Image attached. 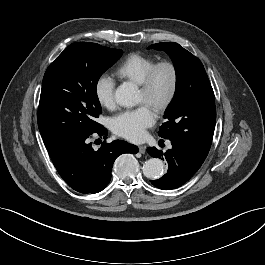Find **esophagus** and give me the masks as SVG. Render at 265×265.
I'll return each mask as SVG.
<instances>
[{
  "label": "esophagus",
  "instance_id": "obj_1",
  "mask_svg": "<svg viewBox=\"0 0 265 265\" xmlns=\"http://www.w3.org/2000/svg\"><path fill=\"white\" fill-rule=\"evenodd\" d=\"M139 152L144 154L146 152L147 147L145 145L138 146Z\"/></svg>",
  "mask_w": 265,
  "mask_h": 265
}]
</instances>
